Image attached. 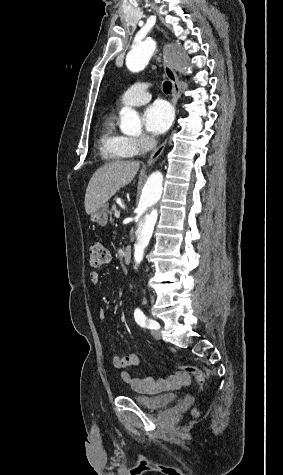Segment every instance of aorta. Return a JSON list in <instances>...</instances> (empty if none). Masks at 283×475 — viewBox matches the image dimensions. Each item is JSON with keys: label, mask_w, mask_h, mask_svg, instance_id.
<instances>
[{"label": "aorta", "mask_w": 283, "mask_h": 475, "mask_svg": "<svg viewBox=\"0 0 283 475\" xmlns=\"http://www.w3.org/2000/svg\"><path fill=\"white\" fill-rule=\"evenodd\" d=\"M156 49L152 39L135 45L126 56V65L132 72L143 70ZM181 63H184L181 61ZM120 129L128 135L141 131L138 113L131 108H123L120 112ZM167 181L163 173L156 171L138 186L133 213L132 233L135 240L133 253V270L138 271L145 251L152 239L157 225L161 222L164 202L166 200Z\"/></svg>", "instance_id": "1"}]
</instances>
